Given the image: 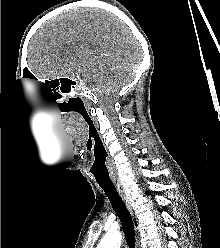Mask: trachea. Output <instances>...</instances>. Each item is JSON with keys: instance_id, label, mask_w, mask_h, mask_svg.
<instances>
[{"instance_id": "3493384b", "label": "trachea", "mask_w": 220, "mask_h": 248, "mask_svg": "<svg viewBox=\"0 0 220 248\" xmlns=\"http://www.w3.org/2000/svg\"><path fill=\"white\" fill-rule=\"evenodd\" d=\"M99 186L104 190L107 195L113 209L121 220L122 227L124 229L126 243L129 248L135 247V231L134 226L130 217V214L118 194L115 186L112 183L99 184Z\"/></svg>"}]
</instances>
